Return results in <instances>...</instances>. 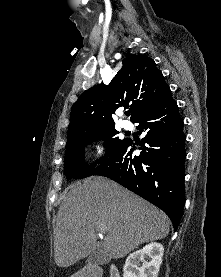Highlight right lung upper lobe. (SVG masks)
I'll return each mask as SVG.
<instances>
[{"instance_id":"obj_1","label":"right lung upper lobe","mask_w":221,"mask_h":277,"mask_svg":"<svg viewBox=\"0 0 221 277\" xmlns=\"http://www.w3.org/2000/svg\"><path fill=\"white\" fill-rule=\"evenodd\" d=\"M169 87L155 62L144 55L131 54L109 85H96L79 97L71 109L68 138L101 126L114 125L115 111L130 104L131 120L157 101Z\"/></svg>"}]
</instances>
